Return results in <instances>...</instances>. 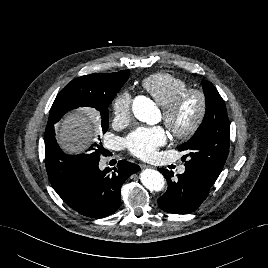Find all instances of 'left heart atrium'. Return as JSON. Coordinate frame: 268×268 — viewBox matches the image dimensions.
<instances>
[{
    "instance_id": "1",
    "label": "left heart atrium",
    "mask_w": 268,
    "mask_h": 268,
    "mask_svg": "<svg viewBox=\"0 0 268 268\" xmlns=\"http://www.w3.org/2000/svg\"><path fill=\"white\" fill-rule=\"evenodd\" d=\"M166 141L167 136L162 127H139L128 134L125 145L134 156L150 160Z\"/></svg>"
}]
</instances>
